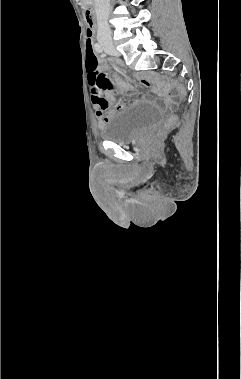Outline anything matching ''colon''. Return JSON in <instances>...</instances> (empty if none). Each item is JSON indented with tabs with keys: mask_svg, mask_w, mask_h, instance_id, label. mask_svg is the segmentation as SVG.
Returning a JSON list of instances; mask_svg holds the SVG:
<instances>
[{
	"mask_svg": "<svg viewBox=\"0 0 241 379\" xmlns=\"http://www.w3.org/2000/svg\"><path fill=\"white\" fill-rule=\"evenodd\" d=\"M86 67L87 80L91 82L90 88L94 89L99 97H102L104 90L112 87V82L98 71V57L93 51L89 32H87ZM162 96L165 100H169L170 95L168 93H164ZM174 121V118H170L166 127L173 124Z\"/></svg>",
	"mask_w": 241,
	"mask_h": 379,
	"instance_id": "colon-1",
	"label": "colon"
}]
</instances>
